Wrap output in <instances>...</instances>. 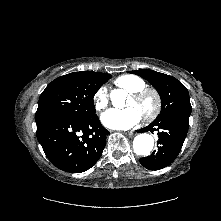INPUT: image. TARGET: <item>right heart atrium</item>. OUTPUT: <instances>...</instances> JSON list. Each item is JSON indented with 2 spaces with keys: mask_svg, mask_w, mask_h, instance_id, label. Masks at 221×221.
Listing matches in <instances>:
<instances>
[{
  "mask_svg": "<svg viewBox=\"0 0 221 221\" xmlns=\"http://www.w3.org/2000/svg\"><path fill=\"white\" fill-rule=\"evenodd\" d=\"M108 94L105 87L99 88L93 96V106L100 112L108 106Z\"/></svg>",
  "mask_w": 221,
  "mask_h": 221,
  "instance_id": "right-heart-atrium-1",
  "label": "right heart atrium"
}]
</instances>
